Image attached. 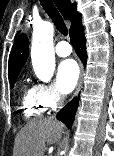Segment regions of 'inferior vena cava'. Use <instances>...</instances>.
Returning a JSON list of instances; mask_svg holds the SVG:
<instances>
[{"instance_id":"obj_1","label":"inferior vena cava","mask_w":114,"mask_h":156,"mask_svg":"<svg viewBox=\"0 0 114 156\" xmlns=\"http://www.w3.org/2000/svg\"><path fill=\"white\" fill-rule=\"evenodd\" d=\"M64 101H65V96L58 94L57 105L59 109L63 107ZM51 118L55 119V115L52 116Z\"/></svg>"}]
</instances>
